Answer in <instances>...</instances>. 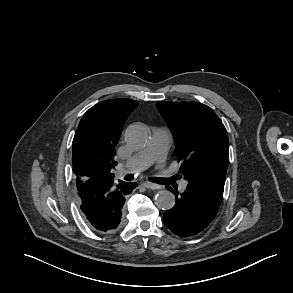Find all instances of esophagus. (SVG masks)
Wrapping results in <instances>:
<instances>
[{"label":"esophagus","instance_id":"obj_1","mask_svg":"<svg viewBox=\"0 0 293 293\" xmlns=\"http://www.w3.org/2000/svg\"><path fill=\"white\" fill-rule=\"evenodd\" d=\"M145 188H148V189H158V188H160V186L158 185V184H156V183H152V182H144L143 184H142Z\"/></svg>","mask_w":293,"mask_h":293}]
</instances>
